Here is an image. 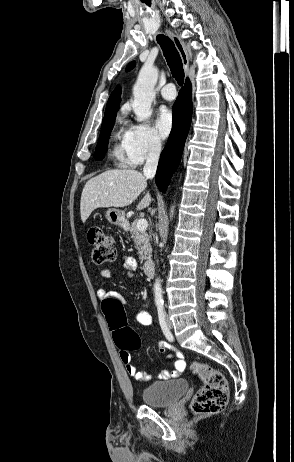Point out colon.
<instances>
[{"label": "colon", "instance_id": "1", "mask_svg": "<svg viewBox=\"0 0 294 462\" xmlns=\"http://www.w3.org/2000/svg\"><path fill=\"white\" fill-rule=\"evenodd\" d=\"M87 239L95 264L101 265L115 259L116 251L113 241L102 229L95 226L90 227L87 231ZM102 311L112 331L116 346L123 351L139 349L140 337L127 325L123 305L112 293L103 298ZM191 370L203 383L192 399V410L205 415L222 411L228 401V386L224 375L201 362H193Z\"/></svg>", "mask_w": 294, "mask_h": 462}]
</instances>
